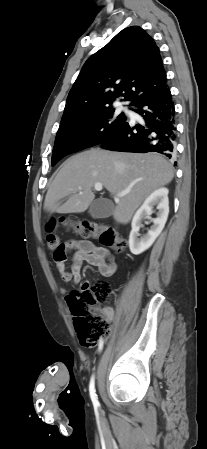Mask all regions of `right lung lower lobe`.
Returning <instances> with one entry per match:
<instances>
[{
	"label": "right lung lower lobe",
	"mask_w": 207,
	"mask_h": 449,
	"mask_svg": "<svg viewBox=\"0 0 207 449\" xmlns=\"http://www.w3.org/2000/svg\"><path fill=\"white\" fill-rule=\"evenodd\" d=\"M133 109L145 120L143 125L125 122L100 147L123 152H158L169 158L175 155L176 123L171 92L143 99ZM176 164V162H175Z\"/></svg>",
	"instance_id": "1"
}]
</instances>
